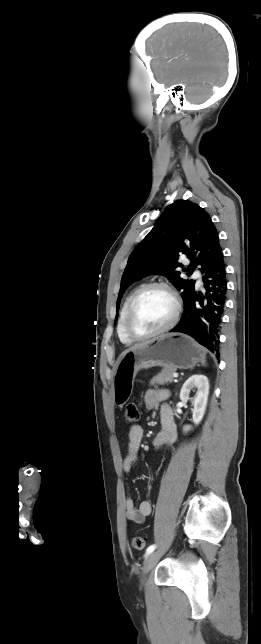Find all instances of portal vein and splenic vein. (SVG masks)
Wrapping results in <instances>:
<instances>
[{
	"label": "portal vein and splenic vein",
	"mask_w": 261,
	"mask_h": 644,
	"mask_svg": "<svg viewBox=\"0 0 261 644\" xmlns=\"http://www.w3.org/2000/svg\"><path fill=\"white\" fill-rule=\"evenodd\" d=\"M173 377H174V378H177V377H178V374H177V373H174V374H173Z\"/></svg>",
	"instance_id": "18ae733b"
}]
</instances>
